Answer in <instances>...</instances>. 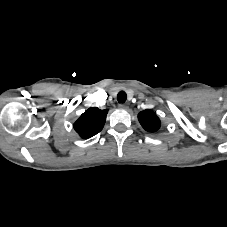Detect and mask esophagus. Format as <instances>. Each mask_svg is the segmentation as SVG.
I'll list each match as a JSON object with an SVG mask.
<instances>
[{
	"label": "esophagus",
	"mask_w": 227,
	"mask_h": 227,
	"mask_svg": "<svg viewBox=\"0 0 227 227\" xmlns=\"http://www.w3.org/2000/svg\"><path fill=\"white\" fill-rule=\"evenodd\" d=\"M119 107L122 108V109H127V105L126 104H120Z\"/></svg>",
	"instance_id": "esophagus-1"
}]
</instances>
